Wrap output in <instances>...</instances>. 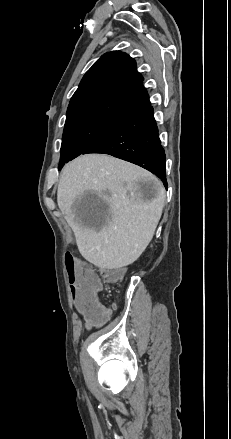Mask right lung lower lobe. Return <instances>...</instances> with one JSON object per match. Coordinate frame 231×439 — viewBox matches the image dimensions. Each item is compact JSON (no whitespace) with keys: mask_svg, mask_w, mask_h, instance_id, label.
<instances>
[{"mask_svg":"<svg viewBox=\"0 0 231 439\" xmlns=\"http://www.w3.org/2000/svg\"><path fill=\"white\" fill-rule=\"evenodd\" d=\"M88 153L109 154L137 164L158 176L167 186L166 157L150 102L122 119L83 154Z\"/></svg>","mask_w":231,"mask_h":439,"instance_id":"1","label":"right lung lower lobe"}]
</instances>
